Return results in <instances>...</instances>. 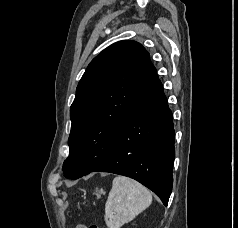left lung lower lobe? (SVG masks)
Returning a JSON list of instances; mask_svg holds the SVG:
<instances>
[{
    "label": "left lung lower lobe",
    "mask_w": 238,
    "mask_h": 228,
    "mask_svg": "<svg viewBox=\"0 0 238 228\" xmlns=\"http://www.w3.org/2000/svg\"><path fill=\"white\" fill-rule=\"evenodd\" d=\"M174 137L172 113L154 68L111 154L91 171L68 179L91 172L124 175L148 187L167 205L173 185Z\"/></svg>",
    "instance_id": "obj_1"
}]
</instances>
